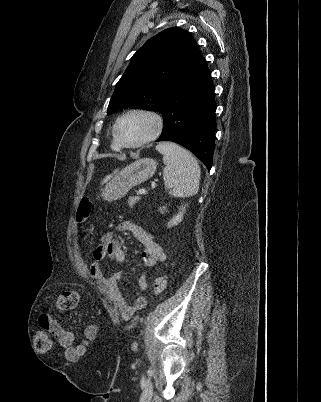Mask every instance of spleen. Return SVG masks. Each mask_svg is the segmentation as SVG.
I'll list each match as a JSON object with an SVG mask.
<instances>
[{
	"label": "spleen",
	"mask_w": 321,
	"mask_h": 402,
	"mask_svg": "<svg viewBox=\"0 0 321 402\" xmlns=\"http://www.w3.org/2000/svg\"><path fill=\"white\" fill-rule=\"evenodd\" d=\"M156 150L163 155L165 168L163 179L169 194L175 197H190L198 193L201 170L197 160L183 147L172 142H161ZM176 216L171 224L181 220Z\"/></svg>",
	"instance_id": "obj_1"
}]
</instances>
